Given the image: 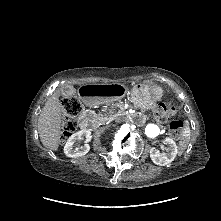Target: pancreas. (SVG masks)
Listing matches in <instances>:
<instances>
[{
  "mask_svg": "<svg viewBox=\"0 0 221 221\" xmlns=\"http://www.w3.org/2000/svg\"><path fill=\"white\" fill-rule=\"evenodd\" d=\"M119 105L116 103L113 105V108L110 109L108 111V113H99L96 115V119L98 122H106V121H109V120H112L113 118L119 116V115H123L125 113L124 109H120L118 110V112L115 111V109L118 107Z\"/></svg>",
  "mask_w": 221,
  "mask_h": 221,
  "instance_id": "1",
  "label": "pancreas"
}]
</instances>
